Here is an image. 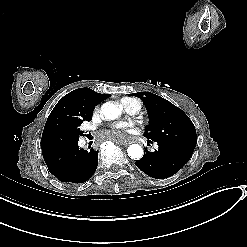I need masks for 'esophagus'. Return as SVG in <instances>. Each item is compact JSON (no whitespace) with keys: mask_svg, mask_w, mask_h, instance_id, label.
<instances>
[{"mask_svg":"<svg viewBox=\"0 0 247 247\" xmlns=\"http://www.w3.org/2000/svg\"><path fill=\"white\" fill-rule=\"evenodd\" d=\"M134 144H138V139H133L132 140H129L127 143H124V146H129V147H132Z\"/></svg>","mask_w":247,"mask_h":247,"instance_id":"34e87169","label":"esophagus"}]
</instances>
